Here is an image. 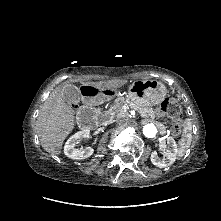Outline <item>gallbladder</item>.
I'll list each match as a JSON object with an SVG mask.
<instances>
[{"instance_id":"obj_1","label":"gallbladder","mask_w":221,"mask_h":221,"mask_svg":"<svg viewBox=\"0 0 221 221\" xmlns=\"http://www.w3.org/2000/svg\"><path fill=\"white\" fill-rule=\"evenodd\" d=\"M62 98L67 103H79L81 99V94L76 86L67 85L62 90Z\"/></svg>"}]
</instances>
